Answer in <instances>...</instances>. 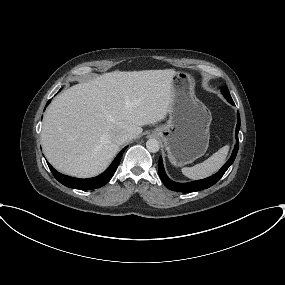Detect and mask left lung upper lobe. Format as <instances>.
Listing matches in <instances>:
<instances>
[{"mask_svg": "<svg viewBox=\"0 0 285 285\" xmlns=\"http://www.w3.org/2000/svg\"><path fill=\"white\" fill-rule=\"evenodd\" d=\"M222 93L226 98H231V95L227 87L222 88Z\"/></svg>", "mask_w": 285, "mask_h": 285, "instance_id": "left-lung-upper-lobe-1", "label": "left lung upper lobe"}]
</instances>
